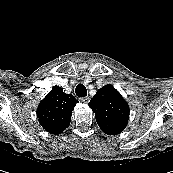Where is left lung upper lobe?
Instances as JSON below:
<instances>
[{
    "label": "left lung upper lobe",
    "instance_id": "left-lung-upper-lobe-1",
    "mask_svg": "<svg viewBox=\"0 0 173 173\" xmlns=\"http://www.w3.org/2000/svg\"><path fill=\"white\" fill-rule=\"evenodd\" d=\"M101 130L108 135L119 134L129 120V106L110 84L97 91L89 102Z\"/></svg>",
    "mask_w": 173,
    "mask_h": 173
}]
</instances>
